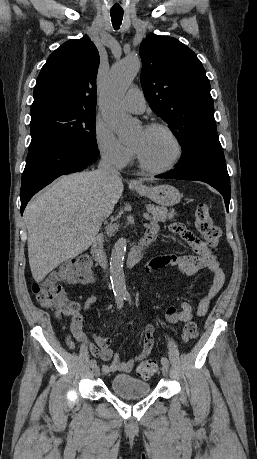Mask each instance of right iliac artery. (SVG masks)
Masks as SVG:
<instances>
[{
	"label": "right iliac artery",
	"mask_w": 257,
	"mask_h": 459,
	"mask_svg": "<svg viewBox=\"0 0 257 459\" xmlns=\"http://www.w3.org/2000/svg\"><path fill=\"white\" fill-rule=\"evenodd\" d=\"M123 299H124V297H122V296H119V297L116 298V302H117V305H118L119 308H121L122 305H123ZM89 364H90V366H91L92 368H93L94 366L97 365L95 359H91L90 362H89Z\"/></svg>",
	"instance_id": "1"
}]
</instances>
